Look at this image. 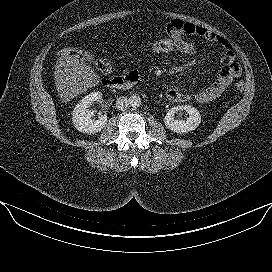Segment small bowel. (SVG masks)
Returning <instances> with one entry per match:
<instances>
[{
	"mask_svg": "<svg viewBox=\"0 0 272 272\" xmlns=\"http://www.w3.org/2000/svg\"><path fill=\"white\" fill-rule=\"evenodd\" d=\"M167 36L184 44L187 54H192L195 51V46L193 42L187 38L188 36L200 37L215 43L222 50L221 62L223 64V68L218 72L216 80L194 95L181 92L175 88L167 89L166 96L170 101L184 103L191 99H195L200 104L210 103L218 99L234 79L240 76L241 66L236 59L233 47L223 36L218 35L203 26L178 19L172 20L167 26Z\"/></svg>",
	"mask_w": 272,
	"mask_h": 272,
	"instance_id": "1",
	"label": "small bowel"
}]
</instances>
